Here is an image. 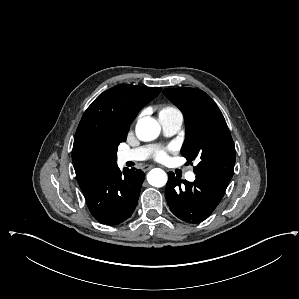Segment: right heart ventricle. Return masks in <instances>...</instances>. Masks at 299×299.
<instances>
[{
  "instance_id": "1",
  "label": "right heart ventricle",
  "mask_w": 299,
  "mask_h": 299,
  "mask_svg": "<svg viewBox=\"0 0 299 299\" xmlns=\"http://www.w3.org/2000/svg\"><path fill=\"white\" fill-rule=\"evenodd\" d=\"M174 112H179L177 108L173 107V106H165L163 107L159 114H162V113H174Z\"/></svg>"
}]
</instances>
